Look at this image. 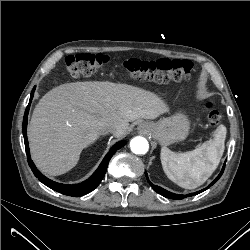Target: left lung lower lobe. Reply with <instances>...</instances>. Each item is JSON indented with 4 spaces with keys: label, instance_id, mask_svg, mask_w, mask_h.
Returning a JSON list of instances; mask_svg holds the SVG:
<instances>
[{
    "label": "left lung lower lobe",
    "instance_id": "obj_1",
    "mask_svg": "<svg viewBox=\"0 0 250 250\" xmlns=\"http://www.w3.org/2000/svg\"><path fill=\"white\" fill-rule=\"evenodd\" d=\"M224 168H225V164H224V166H223V168H222L220 174L216 177V179H215L208 187H206V188H204V189H202V190H200V191H198V192L190 193V194H187V195L174 194V193H171V192H169V191H167V190H165V189H163V188H161V187H158V186L152 184V183L149 181L148 175H147L146 172H145V175H146V178H147L149 184L151 185V187H152L157 193L161 194L162 196H164V197H166V198L178 200V199H183V198L190 197V196H193V195H197V194H199V193L205 191L206 189H208L210 186H212V185L221 177V175H222V173H223V171H224Z\"/></svg>",
    "mask_w": 250,
    "mask_h": 250
}]
</instances>
